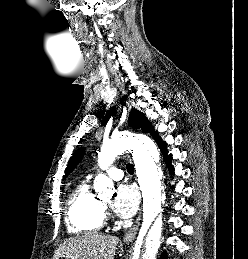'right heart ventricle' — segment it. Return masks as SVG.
<instances>
[{"instance_id": "e07e8e85", "label": "right heart ventricle", "mask_w": 248, "mask_h": 259, "mask_svg": "<svg viewBox=\"0 0 248 259\" xmlns=\"http://www.w3.org/2000/svg\"><path fill=\"white\" fill-rule=\"evenodd\" d=\"M102 202L89 190L88 180L79 183L67 202L66 224L70 233H96L104 224Z\"/></svg>"}]
</instances>
